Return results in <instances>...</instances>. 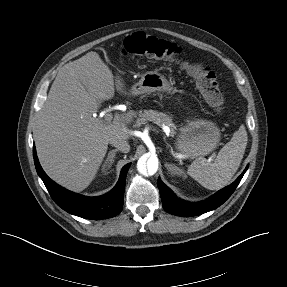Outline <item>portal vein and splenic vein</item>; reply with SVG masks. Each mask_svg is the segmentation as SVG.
Segmentation results:
<instances>
[{"label": "portal vein and splenic vein", "instance_id": "18ae733b", "mask_svg": "<svg viewBox=\"0 0 287 287\" xmlns=\"http://www.w3.org/2000/svg\"><path fill=\"white\" fill-rule=\"evenodd\" d=\"M102 116H104V120L103 121L105 123H110L112 118H113L112 114L106 113V112H102ZM153 130L155 131L156 129H153Z\"/></svg>", "mask_w": 287, "mask_h": 287}]
</instances>
